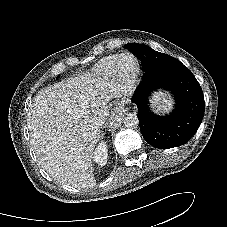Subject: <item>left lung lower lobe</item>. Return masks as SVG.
Wrapping results in <instances>:
<instances>
[{
    "label": "left lung lower lobe",
    "mask_w": 227,
    "mask_h": 227,
    "mask_svg": "<svg viewBox=\"0 0 227 227\" xmlns=\"http://www.w3.org/2000/svg\"><path fill=\"white\" fill-rule=\"evenodd\" d=\"M146 70L160 57V53L146 45L134 50ZM166 89L175 99V109L170 115L158 116L151 112L148 97L156 89ZM132 102L138 108L140 131L152 146L168 149L188 142L199 128L204 116V96L202 89L182 63L159 71L148 70L143 74Z\"/></svg>",
    "instance_id": "0a47b994"
}]
</instances>
